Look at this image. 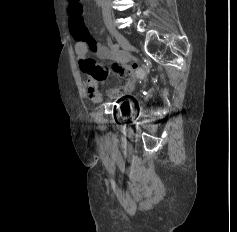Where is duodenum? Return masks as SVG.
<instances>
[{
    "label": "duodenum",
    "mask_w": 237,
    "mask_h": 232,
    "mask_svg": "<svg viewBox=\"0 0 237 232\" xmlns=\"http://www.w3.org/2000/svg\"><path fill=\"white\" fill-rule=\"evenodd\" d=\"M95 1H96L99 5H101L103 0H95Z\"/></svg>",
    "instance_id": "obj_1"
}]
</instances>
